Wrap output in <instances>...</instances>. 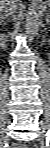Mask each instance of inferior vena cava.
Wrapping results in <instances>:
<instances>
[{
	"instance_id": "inferior-vena-cava-1",
	"label": "inferior vena cava",
	"mask_w": 50,
	"mask_h": 148,
	"mask_svg": "<svg viewBox=\"0 0 50 148\" xmlns=\"http://www.w3.org/2000/svg\"><path fill=\"white\" fill-rule=\"evenodd\" d=\"M17 0H5V4L2 5V10H5L6 15H12L16 10L15 2Z\"/></svg>"
}]
</instances>
